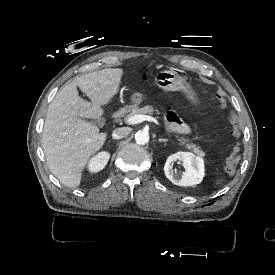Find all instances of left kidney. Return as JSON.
Wrapping results in <instances>:
<instances>
[{
	"label": "left kidney",
	"instance_id": "1",
	"mask_svg": "<svg viewBox=\"0 0 275 275\" xmlns=\"http://www.w3.org/2000/svg\"><path fill=\"white\" fill-rule=\"evenodd\" d=\"M178 160L182 161L186 168V173L181 178L177 177L172 169V164ZM164 172L175 185L194 186L199 184L204 176V163L200 157H195L192 153L177 152L167 157Z\"/></svg>",
	"mask_w": 275,
	"mask_h": 275
}]
</instances>
